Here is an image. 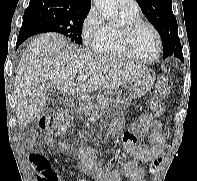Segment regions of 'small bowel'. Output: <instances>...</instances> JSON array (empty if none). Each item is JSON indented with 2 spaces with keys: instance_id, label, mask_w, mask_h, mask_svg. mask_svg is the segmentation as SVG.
I'll list each match as a JSON object with an SVG mask.
<instances>
[{
  "instance_id": "1",
  "label": "small bowel",
  "mask_w": 197,
  "mask_h": 181,
  "mask_svg": "<svg viewBox=\"0 0 197 181\" xmlns=\"http://www.w3.org/2000/svg\"><path fill=\"white\" fill-rule=\"evenodd\" d=\"M114 127L124 129L125 124L122 120H117ZM161 129L160 121H153L150 124L149 143L147 145L136 143L132 128L124 129L123 144L127 148V154L121 160V165L123 174L131 181H147L145 165L149 164V171L154 172L155 167L160 163L166 145V137ZM44 142L51 150L75 154L78 169L93 176L97 181H121V172L114 165L108 169H103L96 160L92 148L82 147L77 150L68 143L56 142L50 137H46ZM29 161L37 173L36 181H62L49 160L42 154L31 153Z\"/></svg>"
}]
</instances>
